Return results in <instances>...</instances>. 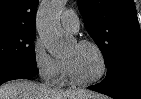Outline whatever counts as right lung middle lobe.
<instances>
[{"mask_svg":"<svg viewBox=\"0 0 141 99\" xmlns=\"http://www.w3.org/2000/svg\"><path fill=\"white\" fill-rule=\"evenodd\" d=\"M35 33V28L0 27V68H37L33 45Z\"/></svg>","mask_w":141,"mask_h":99,"instance_id":"dd1d6c3e","label":"right lung middle lobe"}]
</instances>
